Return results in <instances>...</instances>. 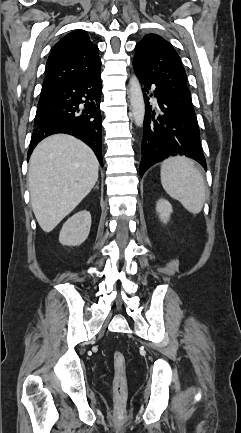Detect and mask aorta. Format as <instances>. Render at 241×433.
Masks as SVG:
<instances>
[{"label":"aorta","instance_id":"762f6f07","mask_svg":"<svg viewBox=\"0 0 241 433\" xmlns=\"http://www.w3.org/2000/svg\"><path fill=\"white\" fill-rule=\"evenodd\" d=\"M129 98L134 122L136 126L141 127L145 116V104L141 86L136 76H132L129 81Z\"/></svg>","mask_w":241,"mask_h":433}]
</instances>
